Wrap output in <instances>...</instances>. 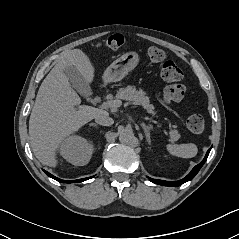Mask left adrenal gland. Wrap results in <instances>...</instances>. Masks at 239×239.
<instances>
[{
    "mask_svg": "<svg viewBox=\"0 0 239 239\" xmlns=\"http://www.w3.org/2000/svg\"><path fill=\"white\" fill-rule=\"evenodd\" d=\"M141 127L143 128L144 132H145V136H146V139H147V142L149 145H151V136H150V131L152 130V125L150 126H147L145 123H141L140 124Z\"/></svg>",
    "mask_w": 239,
    "mask_h": 239,
    "instance_id": "1",
    "label": "left adrenal gland"
}]
</instances>
